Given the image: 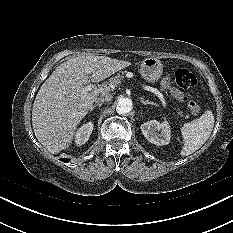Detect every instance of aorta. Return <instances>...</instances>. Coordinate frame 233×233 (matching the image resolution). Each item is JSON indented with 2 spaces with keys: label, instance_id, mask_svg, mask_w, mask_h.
Masks as SVG:
<instances>
[{
  "label": "aorta",
  "instance_id": "aorta-1",
  "mask_svg": "<svg viewBox=\"0 0 233 233\" xmlns=\"http://www.w3.org/2000/svg\"><path fill=\"white\" fill-rule=\"evenodd\" d=\"M132 108H133V102L131 99L120 98L117 103L116 111L119 114H126L129 113L132 110Z\"/></svg>",
  "mask_w": 233,
  "mask_h": 233
}]
</instances>
